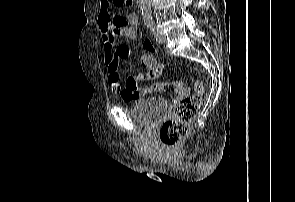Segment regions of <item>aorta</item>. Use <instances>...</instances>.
<instances>
[{
	"label": "aorta",
	"mask_w": 295,
	"mask_h": 202,
	"mask_svg": "<svg viewBox=\"0 0 295 202\" xmlns=\"http://www.w3.org/2000/svg\"><path fill=\"white\" fill-rule=\"evenodd\" d=\"M144 20L151 18V0H139Z\"/></svg>",
	"instance_id": "aorta-1"
}]
</instances>
